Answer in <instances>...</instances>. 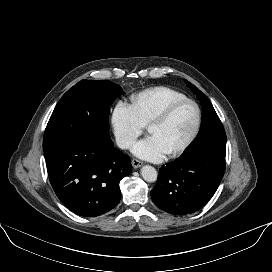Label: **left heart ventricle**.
Segmentation results:
<instances>
[{"mask_svg":"<svg viewBox=\"0 0 272 272\" xmlns=\"http://www.w3.org/2000/svg\"><path fill=\"white\" fill-rule=\"evenodd\" d=\"M196 121L195 109L184 105L177 109L164 123L152 125L149 135L158 138L166 153L181 146L193 131Z\"/></svg>","mask_w":272,"mask_h":272,"instance_id":"b2bd125f","label":"left heart ventricle"}]
</instances>
